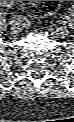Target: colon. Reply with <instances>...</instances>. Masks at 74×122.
Instances as JSON below:
<instances>
[{"mask_svg": "<svg viewBox=\"0 0 74 122\" xmlns=\"http://www.w3.org/2000/svg\"><path fill=\"white\" fill-rule=\"evenodd\" d=\"M60 1H25L23 9L31 16H43L59 6Z\"/></svg>", "mask_w": 74, "mask_h": 122, "instance_id": "obj_1", "label": "colon"}]
</instances>
